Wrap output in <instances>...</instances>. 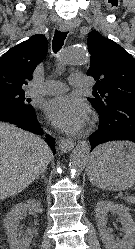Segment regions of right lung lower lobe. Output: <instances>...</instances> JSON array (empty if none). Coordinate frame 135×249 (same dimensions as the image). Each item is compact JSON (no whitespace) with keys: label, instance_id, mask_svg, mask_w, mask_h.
<instances>
[{"label":"right lung lower lobe","instance_id":"obj_1","mask_svg":"<svg viewBox=\"0 0 135 249\" xmlns=\"http://www.w3.org/2000/svg\"><path fill=\"white\" fill-rule=\"evenodd\" d=\"M0 121L15 124L19 128L35 134H42V130L39 127L36 119V113L33 108L27 109L15 103L0 101ZM46 141L55 154L54 138L47 135Z\"/></svg>","mask_w":135,"mask_h":249}]
</instances>
